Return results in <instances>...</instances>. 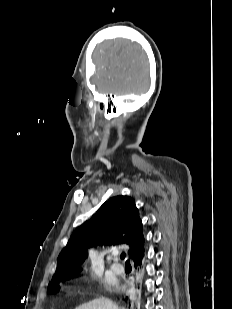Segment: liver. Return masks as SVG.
Instances as JSON below:
<instances>
[{"instance_id": "obj_1", "label": "liver", "mask_w": 232, "mask_h": 309, "mask_svg": "<svg viewBox=\"0 0 232 309\" xmlns=\"http://www.w3.org/2000/svg\"><path fill=\"white\" fill-rule=\"evenodd\" d=\"M76 309H119L111 300L101 297L94 299L88 303L82 304Z\"/></svg>"}]
</instances>
